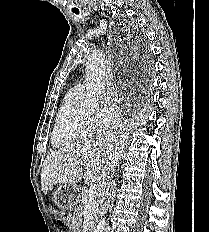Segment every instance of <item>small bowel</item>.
Here are the masks:
<instances>
[{"label":"small bowel","instance_id":"obj_1","mask_svg":"<svg viewBox=\"0 0 209 232\" xmlns=\"http://www.w3.org/2000/svg\"><path fill=\"white\" fill-rule=\"evenodd\" d=\"M81 227V218L79 215H76L70 223V231L78 232Z\"/></svg>","mask_w":209,"mask_h":232}]
</instances>
